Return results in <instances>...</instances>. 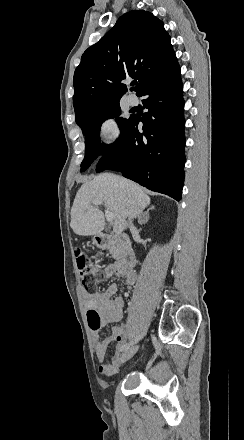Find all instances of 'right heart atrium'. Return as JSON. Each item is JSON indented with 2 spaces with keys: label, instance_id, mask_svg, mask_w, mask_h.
<instances>
[{
  "label": "right heart atrium",
  "instance_id": "d8ad5b80",
  "mask_svg": "<svg viewBox=\"0 0 244 440\" xmlns=\"http://www.w3.org/2000/svg\"><path fill=\"white\" fill-rule=\"evenodd\" d=\"M99 131L105 143L114 142L120 135L119 126L112 116H105L99 122Z\"/></svg>",
  "mask_w": 244,
  "mask_h": 440
}]
</instances>
